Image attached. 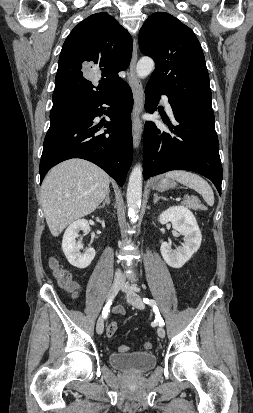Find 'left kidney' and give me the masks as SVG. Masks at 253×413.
<instances>
[{
    "instance_id": "1",
    "label": "left kidney",
    "mask_w": 253,
    "mask_h": 413,
    "mask_svg": "<svg viewBox=\"0 0 253 413\" xmlns=\"http://www.w3.org/2000/svg\"><path fill=\"white\" fill-rule=\"evenodd\" d=\"M159 222H171L172 228L184 236V243L172 250L171 243L161 244V254L165 262L172 268H181L200 248L202 234L193 213L184 206H172L163 211Z\"/></svg>"
}]
</instances>
